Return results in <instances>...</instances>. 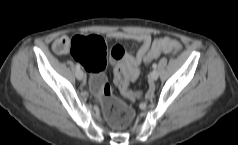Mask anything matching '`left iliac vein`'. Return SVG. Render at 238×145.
<instances>
[{
  "label": "left iliac vein",
  "instance_id": "1",
  "mask_svg": "<svg viewBox=\"0 0 238 145\" xmlns=\"http://www.w3.org/2000/svg\"><path fill=\"white\" fill-rule=\"evenodd\" d=\"M159 77V73L157 70H153L150 75H149V80L150 81H156Z\"/></svg>",
  "mask_w": 238,
  "mask_h": 145
}]
</instances>
